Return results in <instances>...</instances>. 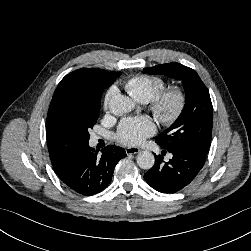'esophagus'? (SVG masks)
Here are the masks:
<instances>
[{"mask_svg": "<svg viewBox=\"0 0 251 251\" xmlns=\"http://www.w3.org/2000/svg\"><path fill=\"white\" fill-rule=\"evenodd\" d=\"M126 154L130 155V154H137L140 152V149L137 147H128L125 149Z\"/></svg>", "mask_w": 251, "mask_h": 251, "instance_id": "34e87169", "label": "esophagus"}]
</instances>
